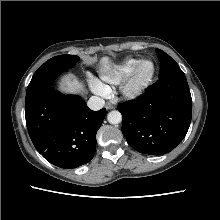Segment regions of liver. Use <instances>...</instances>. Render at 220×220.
Returning <instances> with one entry per match:
<instances>
[{
    "label": "liver",
    "instance_id": "obj_1",
    "mask_svg": "<svg viewBox=\"0 0 220 220\" xmlns=\"http://www.w3.org/2000/svg\"><path fill=\"white\" fill-rule=\"evenodd\" d=\"M99 70L101 73H108L111 70V60L109 57L105 56L101 58ZM60 88L63 93H85L83 84L73 77H65L60 83Z\"/></svg>",
    "mask_w": 220,
    "mask_h": 220
}]
</instances>
